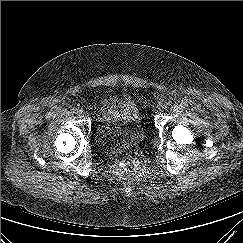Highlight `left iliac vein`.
I'll return each instance as SVG.
<instances>
[{
	"label": "left iliac vein",
	"instance_id": "obj_1",
	"mask_svg": "<svg viewBox=\"0 0 243 243\" xmlns=\"http://www.w3.org/2000/svg\"><path fill=\"white\" fill-rule=\"evenodd\" d=\"M165 105H160L159 107H158V109L160 110V111H162V110H164L165 109Z\"/></svg>",
	"mask_w": 243,
	"mask_h": 243
}]
</instances>
